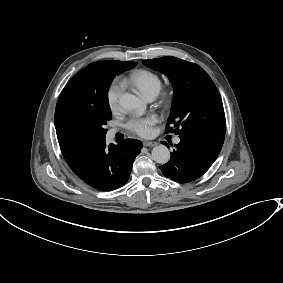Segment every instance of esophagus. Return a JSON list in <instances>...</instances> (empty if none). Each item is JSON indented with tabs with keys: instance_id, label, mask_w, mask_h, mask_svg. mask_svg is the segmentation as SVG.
<instances>
[{
	"instance_id": "1",
	"label": "esophagus",
	"mask_w": 283,
	"mask_h": 283,
	"mask_svg": "<svg viewBox=\"0 0 283 283\" xmlns=\"http://www.w3.org/2000/svg\"><path fill=\"white\" fill-rule=\"evenodd\" d=\"M143 144L145 147H154V146H157L159 143L152 141V142H144Z\"/></svg>"
}]
</instances>
